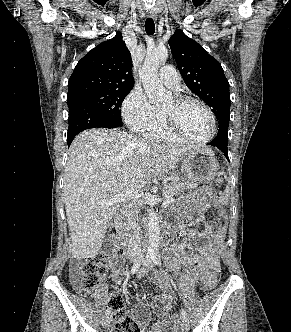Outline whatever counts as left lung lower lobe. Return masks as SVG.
<instances>
[{"label": "left lung lower lobe", "instance_id": "left-lung-lower-lobe-1", "mask_svg": "<svg viewBox=\"0 0 291 332\" xmlns=\"http://www.w3.org/2000/svg\"><path fill=\"white\" fill-rule=\"evenodd\" d=\"M227 142H228V130L226 129V127H224V124L221 123L219 124V131L216 138L212 142L208 143V145H212L220 149L224 153L226 158L229 160Z\"/></svg>", "mask_w": 291, "mask_h": 332}]
</instances>
